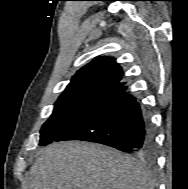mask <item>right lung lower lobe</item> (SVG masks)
Instances as JSON below:
<instances>
[{
	"label": "right lung lower lobe",
	"mask_w": 188,
	"mask_h": 189,
	"mask_svg": "<svg viewBox=\"0 0 188 189\" xmlns=\"http://www.w3.org/2000/svg\"><path fill=\"white\" fill-rule=\"evenodd\" d=\"M126 89L123 86L107 94L53 141H90L129 153L151 151L154 133L150 118Z\"/></svg>",
	"instance_id": "right-lung-lower-lobe-1"
}]
</instances>
